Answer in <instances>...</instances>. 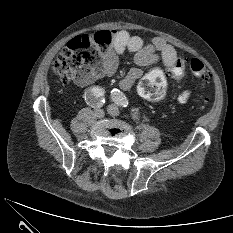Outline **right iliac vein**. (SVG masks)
I'll return each mask as SVG.
<instances>
[{"instance_id": "63e3f726", "label": "right iliac vein", "mask_w": 233, "mask_h": 233, "mask_svg": "<svg viewBox=\"0 0 233 233\" xmlns=\"http://www.w3.org/2000/svg\"><path fill=\"white\" fill-rule=\"evenodd\" d=\"M95 116L97 118H103L104 117V111L101 108L97 107L95 109Z\"/></svg>"}]
</instances>
